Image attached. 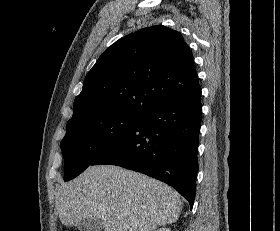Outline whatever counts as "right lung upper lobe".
<instances>
[{"mask_svg":"<svg viewBox=\"0 0 280 231\" xmlns=\"http://www.w3.org/2000/svg\"><path fill=\"white\" fill-rule=\"evenodd\" d=\"M198 80L182 35L162 25L147 27L99 57L74 100L71 119L143 116L160 104L201 93Z\"/></svg>","mask_w":280,"mask_h":231,"instance_id":"cb5924a9","label":"right lung upper lobe"}]
</instances>
